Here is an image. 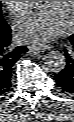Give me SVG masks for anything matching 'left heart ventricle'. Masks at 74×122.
<instances>
[{"label":"left heart ventricle","instance_id":"obj_1","mask_svg":"<svg viewBox=\"0 0 74 122\" xmlns=\"http://www.w3.org/2000/svg\"><path fill=\"white\" fill-rule=\"evenodd\" d=\"M44 5H52L56 7L61 16L70 21L72 18V1H41Z\"/></svg>","mask_w":74,"mask_h":122}]
</instances>
